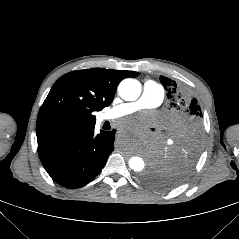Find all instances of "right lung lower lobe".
<instances>
[{"mask_svg": "<svg viewBox=\"0 0 239 239\" xmlns=\"http://www.w3.org/2000/svg\"><path fill=\"white\" fill-rule=\"evenodd\" d=\"M116 130L94 133V127L38 146L40 160L59 185L80 188L92 181L114 150Z\"/></svg>", "mask_w": 239, "mask_h": 239, "instance_id": "98d812e1", "label": "right lung lower lobe"}]
</instances>
